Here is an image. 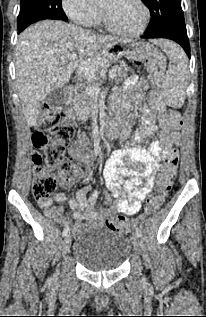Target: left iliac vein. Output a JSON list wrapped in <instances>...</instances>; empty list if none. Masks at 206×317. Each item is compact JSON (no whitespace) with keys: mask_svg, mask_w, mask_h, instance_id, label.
<instances>
[{"mask_svg":"<svg viewBox=\"0 0 206 317\" xmlns=\"http://www.w3.org/2000/svg\"><path fill=\"white\" fill-rule=\"evenodd\" d=\"M132 244L136 250L140 249V240L136 234L132 236Z\"/></svg>","mask_w":206,"mask_h":317,"instance_id":"1","label":"left iliac vein"}]
</instances>
